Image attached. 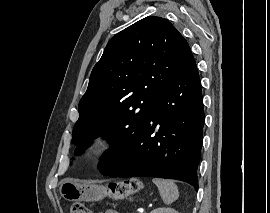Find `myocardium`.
Returning <instances> with one entry per match:
<instances>
[{"mask_svg": "<svg viewBox=\"0 0 270 213\" xmlns=\"http://www.w3.org/2000/svg\"><path fill=\"white\" fill-rule=\"evenodd\" d=\"M116 141V136L112 131H98L87 140L86 152L94 157L102 156L115 146Z\"/></svg>", "mask_w": 270, "mask_h": 213, "instance_id": "1", "label": "myocardium"}]
</instances>
